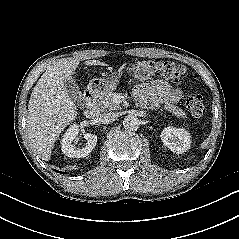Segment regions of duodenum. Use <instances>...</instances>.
I'll return each instance as SVG.
<instances>
[{"instance_id":"obj_1","label":"duodenum","mask_w":239,"mask_h":239,"mask_svg":"<svg viewBox=\"0 0 239 239\" xmlns=\"http://www.w3.org/2000/svg\"><path fill=\"white\" fill-rule=\"evenodd\" d=\"M85 109L84 115L87 118H94L98 115L97 93L94 89H88L85 92Z\"/></svg>"}]
</instances>
